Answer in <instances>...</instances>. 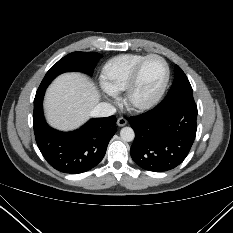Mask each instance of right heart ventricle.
I'll list each match as a JSON object with an SVG mask.
<instances>
[{
	"mask_svg": "<svg viewBox=\"0 0 233 233\" xmlns=\"http://www.w3.org/2000/svg\"><path fill=\"white\" fill-rule=\"evenodd\" d=\"M145 55L122 54L106 62L100 74V84L110 94H119L126 90L131 74Z\"/></svg>",
	"mask_w": 233,
	"mask_h": 233,
	"instance_id": "obj_1",
	"label": "right heart ventricle"
}]
</instances>
